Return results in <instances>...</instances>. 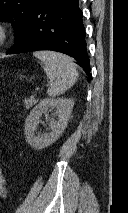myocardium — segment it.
<instances>
[{"label": "myocardium", "instance_id": "f54148a6", "mask_svg": "<svg viewBox=\"0 0 128 213\" xmlns=\"http://www.w3.org/2000/svg\"><path fill=\"white\" fill-rule=\"evenodd\" d=\"M9 28L5 22L0 21V46L4 45L9 39Z\"/></svg>", "mask_w": 128, "mask_h": 213}]
</instances>
